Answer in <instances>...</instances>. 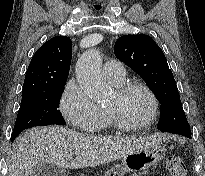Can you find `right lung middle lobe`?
I'll return each mask as SVG.
<instances>
[{
    "mask_svg": "<svg viewBox=\"0 0 205 176\" xmlns=\"http://www.w3.org/2000/svg\"><path fill=\"white\" fill-rule=\"evenodd\" d=\"M64 85L22 96L11 140L23 130L31 127L51 124L65 125V121L57 109Z\"/></svg>",
    "mask_w": 205,
    "mask_h": 176,
    "instance_id": "1",
    "label": "right lung middle lobe"
}]
</instances>
